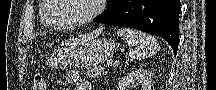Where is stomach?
Here are the masks:
<instances>
[{
  "instance_id": "obj_1",
  "label": "stomach",
  "mask_w": 216,
  "mask_h": 90,
  "mask_svg": "<svg viewBox=\"0 0 216 90\" xmlns=\"http://www.w3.org/2000/svg\"><path fill=\"white\" fill-rule=\"evenodd\" d=\"M115 48V43L111 40L91 39L72 51L53 55L50 58V65L55 68L96 66L110 59Z\"/></svg>"
}]
</instances>
